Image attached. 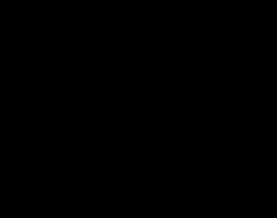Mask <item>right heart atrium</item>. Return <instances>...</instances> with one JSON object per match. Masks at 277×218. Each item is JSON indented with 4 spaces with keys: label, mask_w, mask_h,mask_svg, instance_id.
Returning <instances> with one entry per match:
<instances>
[{
    "label": "right heart atrium",
    "mask_w": 277,
    "mask_h": 218,
    "mask_svg": "<svg viewBox=\"0 0 277 218\" xmlns=\"http://www.w3.org/2000/svg\"><path fill=\"white\" fill-rule=\"evenodd\" d=\"M101 93L105 101L109 104H113L119 99V87L111 80H106L103 82L101 86Z\"/></svg>",
    "instance_id": "obj_1"
}]
</instances>
